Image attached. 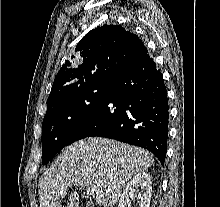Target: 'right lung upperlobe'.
Masks as SVG:
<instances>
[{
	"label": "right lung upper lobe",
	"instance_id": "cb5924a9",
	"mask_svg": "<svg viewBox=\"0 0 220 207\" xmlns=\"http://www.w3.org/2000/svg\"><path fill=\"white\" fill-rule=\"evenodd\" d=\"M75 51L81 64L66 61L55 77L48 103L81 87L108 83L148 52L137 35L116 24L92 29Z\"/></svg>",
	"mask_w": 220,
	"mask_h": 207
}]
</instances>
